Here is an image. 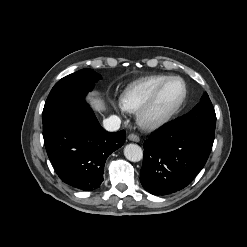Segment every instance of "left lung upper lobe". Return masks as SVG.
Instances as JSON below:
<instances>
[{"label": "left lung upper lobe", "mask_w": 247, "mask_h": 247, "mask_svg": "<svg viewBox=\"0 0 247 247\" xmlns=\"http://www.w3.org/2000/svg\"><path fill=\"white\" fill-rule=\"evenodd\" d=\"M178 124L189 130L215 132L216 114L206 92L192 111L178 120Z\"/></svg>", "instance_id": "1"}]
</instances>
